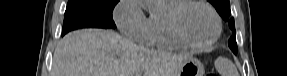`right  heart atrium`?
<instances>
[{
    "mask_svg": "<svg viewBox=\"0 0 287 76\" xmlns=\"http://www.w3.org/2000/svg\"><path fill=\"white\" fill-rule=\"evenodd\" d=\"M120 32L135 41L143 42L147 32V18L140 0H120L113 12Z\"/></svg>",
    "mask_w": 287,
    "mask_h": 76,
    "instance_id": "d8ad5b80",
    "label": "right heart atrium"
}]
</instances>
